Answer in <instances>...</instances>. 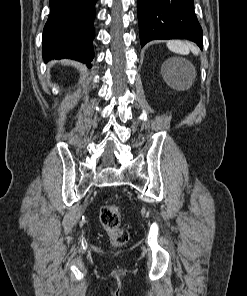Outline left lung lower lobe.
<instances>
[{
	"label": "left lung lower lobe",
	"mask_w": 247,
	"mask_h": 296,
	"mask_svg": "<svg viewBox=\"0 0 247 296\" xmlns=\"http://www.w3.org/2000/svg\"><path fill=\"white\" fill-rule=\"evenodd\" d=\"M141 46L154 39H188L201 49L202 28L194 0H137Z\"/></svg>",
	"instance_id": "1"
}]
</instances>
